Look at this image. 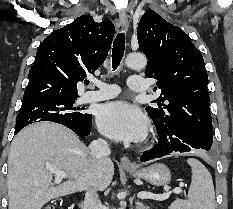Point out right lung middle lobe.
<instances>
[{
	"mask_svg": "<svg viewBox=\"0 0 233 209\" xmlns=\"http://www.w3.org/2000/svg\"><path fill=\"white\" fill-rule=\"evenodd\" d=\"M77 98H48L22 103L16 119V127H25L39 121L57 122L63 125L84 123L90 114L74 107Z\"/></svg>",
	"mask_w": 233,
	"mask_h": 209,
	"instance_id": "1",
	"label": "right lung middle lobe"
}]
</instances>
